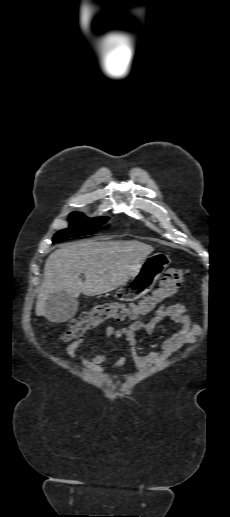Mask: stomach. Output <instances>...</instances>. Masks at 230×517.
I'll return each mask as SVG.
<instances>
[{
  "mask_svg": "<svg viewBox=\"0 0 230 517\" xmlns=\"http://www.w3.org/2000/svg\"><path fill=\"white\" fill-rule=\"evenodd\" d=\"M170 262L169 256L155 253L141 264L139 270L122 285L116 296L120 301H134L150 291Z\"/></svg>",
  "mask_w": 230,
  "mask_h": 517,
  "instance_id": "obj_1",
  "label": "stomach"
}]
</instances>
